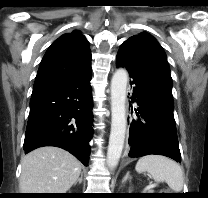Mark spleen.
I'll use <instances>...</instances> for the list:
<instances>
[{"label": "spleen", "mask_w": 208, "mask_h": 198, "mask_svg": "<svg viewBox=\"0 0 208 198\" xmlns=\"http://www.w3.org/2000/svg\"><path fill=\"white\" fill-rule=\"evenodd\" d=\"M139 173L148 172L156 182H166L180 193L183 188V171L175 161L161 155H147L140 158L135 167Z\"/></svg>", "instance_id": "3e777b00"}]
</instances>
